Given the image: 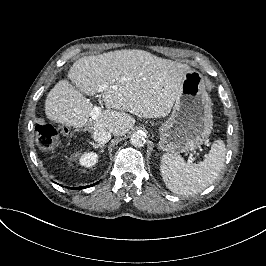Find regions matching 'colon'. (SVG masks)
<instances>
[{"instance_id": "1", "label": "colon", "mask_w": 266, "mask_h": 266, "mask_svg": "<svg viewBox=\"0 0 266 266\" xmlns=\"http://www.w3.org/2000/svg\"><path fill=\"white\" fill-rule=\"evenodd\" d=\"M36 133L38 136V143L41 148L45 150L54 148L57 142L58 133L52 124L47 122L37 124Z\"/></svg>"}]
</instances>
